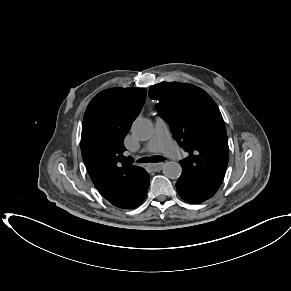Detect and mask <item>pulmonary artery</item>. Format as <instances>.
<instances>
[{"label": "pulmonary artery", "instance_id": "e3ab8cb5", "mask_svg": "<svg viewBox=\"0 0 291 291\" xmlns=\"http://www.w3.org/2000/svg\"><path fill=\"white\" fill-rule=\"evenodd\" d=\"M149 152H163L168 157L177 160L181 156V151L175 145L166 121L157 117L155 120L154 133L146 145Z\"/></svg>", "mask_w": 291, "mask_h": 291}]
</instances>
